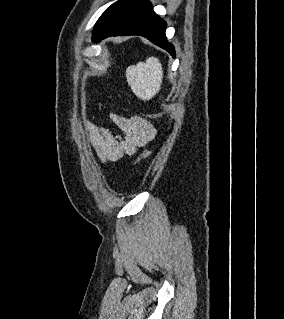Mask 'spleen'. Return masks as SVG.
<instances>
[{"mask_svg": "<svg viewBox=\"0 0 284 319\" xmlns=\"http://www.w3.org/2000/svg\"><path fill=\"white\" fill-rule=\"evenodd\" d=\"M126 78L133 93L142 100H149L160 90L163 69L156 57H149L145 62H138L126 70Z\"/></svg>", "mask_w": 284, "mask_h": 319, "instance_id": "3e777b00", "label": "spleen"}]
</instances>
